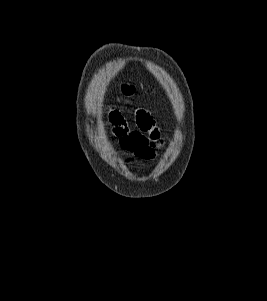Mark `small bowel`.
I'll return each mask as SVG.
<instances>
[{
	"mask_svg": "<svg viewBox=\"0 0 267 301\" xmlns=\"http://www.w3.org/2000/svg\"><path fill=\"white\" fill-rule=\"evenodd\" d=\"M136 129L130 130L127 120L118 110H111L108 121L119 145L127 154V162L135 159L152 160L161 143L160 130L151 114L143 109L135 113Z\"/></svg>",
	"mask_w": 267,
	"mask_h": 301,
	"instance_id": "small-bowel-1",
	"label": "small bowel"
}]
</instances>
